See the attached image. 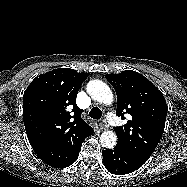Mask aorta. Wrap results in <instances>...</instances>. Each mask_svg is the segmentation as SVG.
I'll return each instance as SVG.
<instances>
[{
  "mask_svg": "<svg viewBox=\"0 0 187 187\" xmlns=\"http://www.w3.org/2000/svg\"><path fill=\"white\" fill-rule=\"evenodd\" d=\"M87 92L97 102L109 105L113 102V94L108 85L100 80H92L87 84ZM117 136L114 131L106 130L101 134L100 143L104 148L111 149L116 145Z\"/></svg>",
  "mask_w": 187,
  "mask_h": 187,
  "instance_id": "obj_1",
  "label": "aorta"
}]
</instances>
